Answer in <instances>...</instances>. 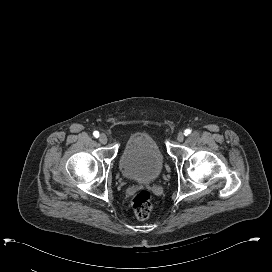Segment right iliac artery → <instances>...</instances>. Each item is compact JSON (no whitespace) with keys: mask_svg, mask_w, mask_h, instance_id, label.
Segmentation results:
<instances>
[{"mask_svg":"<svg viewBox=\"0 0 272 272\" xmlns=\"http://www.w3.org/2000/svg\"><path fill=\"white\" fill-rule=\"evenodd\" d=\"M93 135H94V137H99V132L98 131H95L94 133H93Z\"/></svg>","mask_w":272,"mask_h":272,"instance_id":"right-iliac-artery-1","label":"right iliac artery"}]
</instances>
